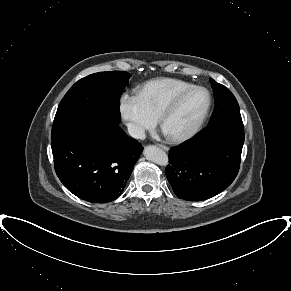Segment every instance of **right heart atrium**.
Here are the masks:
<instances>
[{"mask_svg": "<svg viewBox=\"0 0 291 291\" xmlns=\"http://www.w3.org/2000/svg\"><path fill=\"white\" fill-rule=\"evenodd\" d=\"M120 112L130 134L135 138H142L156 124V118L144 108L137 96L123 94L120 98Z\"/></svg>", "mask_w": 291, "mask_h": 291, "instance_id": "right-heart-atrium-1", "label": "right heart atrium"}]
</instances>
